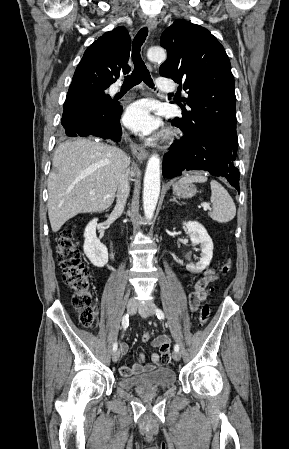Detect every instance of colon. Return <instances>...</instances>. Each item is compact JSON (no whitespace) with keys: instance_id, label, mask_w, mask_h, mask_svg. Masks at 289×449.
<instances>
[{"instance_id":"5ec220e1","label":"colon","mask_w":289,"mask_h":449,"mask_svg":"<svg viewBox=\"0 0 289 449\" xmlns=\"http://www.w3.org/2000/svg\"><path fill=\"white\" fill-rule=\"evenodd\" d=\"M56 250L63 271V280L72 291V302L79 312L80 322L83 326L90 327L95 320L96 311L90 294L89 272L80 259L73 228L62 231ZM231 266L230 260L225 261L220 268L221 274L226 275L231 270ZM209 316L210 306L205 303L199 312L200 324L205 325ZM149 339V333L142 335L143 342H147Z\"/></svg>"}]
</instances>
